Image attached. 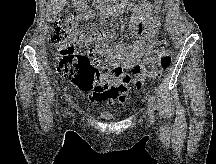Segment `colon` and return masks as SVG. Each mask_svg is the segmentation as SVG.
<instances>
[{"label":"colon","mask_w":216,"mask_h":164,"mask_svg":"<svg viewBox=\"0 0 216 164\" xmlns=\"http://www.w3.org/2000/svg\"><path fill=\"white\" fill-rule=\"evenodd\" d=\"M78 31L77 21L70 19L55 20L53 24L52 43L57 47V70L67 81L79 89L93 91L101 84V72L107 67L99 61L90 59L75 51V36ZM171 64V57L164 53L149 66L137 68L131 83L140 89L147 79L157 78Z\"/></svg>","instance_id":"colon-1"}]
</instances>
